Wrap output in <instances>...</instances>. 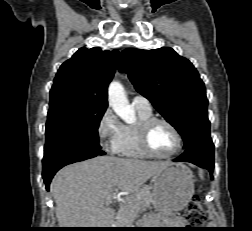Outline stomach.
<instances>
[{"label": "stomach", "mask_w": 252, "mask_h": 231, "mask_svg": "<svg viewBox=\"0 0 252 231\" xmlns=\"http://www.w3.org/2000/svg\"><path fill=\"white\" fill-rule=\"evenodd\" d=\"M152 204L156 211L178 212L194 195L191 170L183 164L170 165L152 178Z\"/></svg>", "instance_id": "1"}]
</instances>
